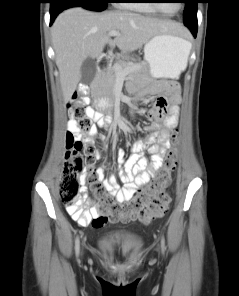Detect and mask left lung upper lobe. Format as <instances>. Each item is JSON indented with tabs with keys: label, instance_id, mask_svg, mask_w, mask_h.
I'll return each mask as SVG.
<instances>
[{
	"label": "left lung upper lobe",
	"instance_id": "5c2ea615",
	"mask_svg": "<svg viewBox=\"0 0 239 296\" xmlns=\"http://www.w3.org/2000/svg\"><path fill=\"white\" fill-rule=\"evenodd\" d=\"M198 0H185V10L183 14L184 24L197 23V4Z\"/></svg>",
	"mask_w": 239,
	"mask_h": 296
}]
</instances>
